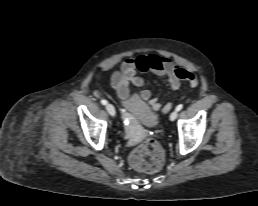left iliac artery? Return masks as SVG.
I'll use <instances>...</instances> for the list:
<instances>
[{
    "instance_id": "obj_1",
    "label": "left iliac artery",
    "mask_w": 258,
    "mask_h": 206,
    "mask_svg": "<svg viewBox=\"0 0 258 206\" xmlns=\"http://www.w3.org/2000/svg\"><path fill=\"white\" fill-rule=\"evenodd\" d=\"M182 108H183V105H182V104H179V105L176 107V111H180Z\"/></svg>"
}]
</instances>
